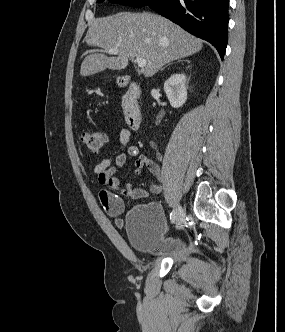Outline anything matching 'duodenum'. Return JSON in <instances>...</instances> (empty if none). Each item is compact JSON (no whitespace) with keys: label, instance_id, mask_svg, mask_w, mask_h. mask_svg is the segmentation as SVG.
Returning a JSON list of instances; mask_svg holds the SVG:
<instances>
[{"label":"duodenum","instance_id":"1","mask_svg":"<svg viewBox=\"0 0 285 332\" xmlns=\"http://www.w3.org/2000/svg\"><path fill=\"white\" fill-rule=\"evenodd\" d=\"M121 84L126 87V123L132 130H138L142 123V113L139 105L140 87L129 77H123Z\"/></svg>","mask_w":285,"mask_h":332}]
</instances>
